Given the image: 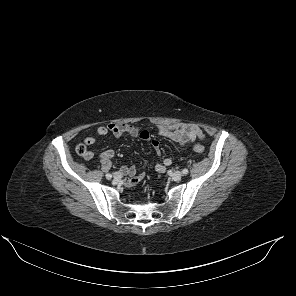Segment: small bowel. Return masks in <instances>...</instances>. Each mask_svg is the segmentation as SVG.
Returning <instances> with one entry per match:
<instances>
[{"label":"small bowel","instance_id":"1","mask_svg":"<svg viewBox=\"0 0 296 296\" xmlns=\"http://www.w3.org/2000/svg\"><path fill=\"white\" fill-rule=\"evenodd\" d=\"M157 132L159 135L175 141L182 146L187 145L196 139L202 140L204 138V133L198 126L185 123L159 125L157 127ZM96 133L102 137L108 134L113 135L115 138H119L124 134L138 137L141 140L149 142L154 147L157 155H161L159 142L152 137L149 131L137 126L128 123H112L106 126L98 127ZM96 142V138L91 136L84 139V144L87 146L94 145ZM89 152L90 153L88 156H84L85 159H91L93 157V153L91 151ZM100 157L105 161L111 160L114 157V151L111 149L106 150L101 154ZM172 163V159L166 157L162 160V162L155 164V170L159 173H164L167 167H169ZM121 172L126 176L124 179V184L127 186H133L139 183L144 177V173H137V168L135 166H122Z\"/></svg>","mask_w":296,"mask_h":296}]
</instances>
